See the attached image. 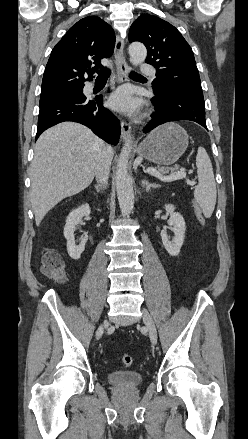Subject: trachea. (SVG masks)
I'll use <instances>...</instances> for the list:
<instances>
[{"label": "trachea", "instance_id": "3493384b", "mask_svg": "<svg viewBox=\"0 0 248 439\" xmlns=\"http://www.w3.org/2000/svg\"><path fill=\"white\" fill-rule=\"evenodd\" d=\"M97 73H98L97 80H107L110 77L111 70L109 68H103V69L99 70ZM130 76L131 77H141L140 74H137L135 72H131Z\"/></svg>", "mask_w": 248, "mask_h": 439}]
</instances>
